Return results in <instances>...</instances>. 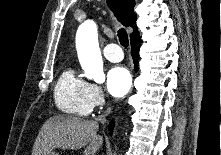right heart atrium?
<instances>
[{
  "label": "right heart atrium",
  "instance_id": "d8ad5b80",
  "mask_svg": "<svg viewBox=\"0 0 221 155\" xmlns=\"http://www.w3.org/2000/svg\"><path fill=\"white\" fill-rule=\"evenodd\" d=\"M89 99L93 107L102 106L105 103V94L102 88L94 83H89Z\"/></svg>",
  "mask_w": 221,
  "mask_h": 155
}]
</instances>
